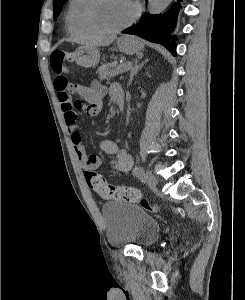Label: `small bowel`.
Instances as JSON below:
<instances>
[{
	"label": "small bowel",
	"instance_id": "obj_1",
	"mask_svg": "<svg viewBox=\"0 0 245 300\" xmlns=\"http://www.w3.org/2000/svg\"><path fill=\"white\" fill-rule=\"evenodd\" d=\"M54 88L75 154L81 164L84 176L87 178L89 173H96L101 161L97 155L89 154L85 149L81 137V127L77 122L78 110H83L88 116H98L102 112L103 99L106 93L108 92L111 98L114 99L115 94L122 92V90L118 85H113L107 90L96 81L90 86L77 85L69 82L62 75L55 78ZM73 97H76L77 100L74 101ZM76 101L83 104L82 108H76ZM99 148L102 152L114 157L110 162L111 170L128 172L132 168V156L125 149L120 148L116 142L103 139L99 142Z\"/></svg>",
	"mask_w": 245,
	"mask_h": 300
}]
</instances>
